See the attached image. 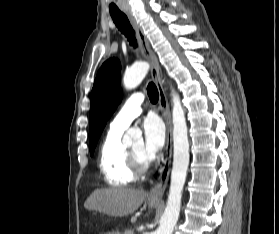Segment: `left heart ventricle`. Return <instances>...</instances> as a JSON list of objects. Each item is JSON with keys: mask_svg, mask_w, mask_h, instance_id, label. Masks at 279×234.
Masks as SVG:
<instances>
[{"mask_svg": "<svg viewBox=\"0 0 279 234\" xmlns=\"http://www.w3.org/2000/svg\"><path fill=\"white\" fill-rule=\"evenodd\" d=\"M132 150H134L136 153L139 155L146 157L145 152H144V145L142 141L136 142L134 145L130 147Z\"/></svg>", "mask_w": 279, "mask_h": 234, "instance_id": "1", "label": "left heart ventricle"}]
</instances>
